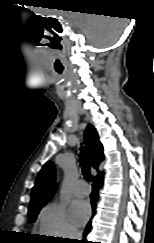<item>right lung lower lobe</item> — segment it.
<instances>
[{
	"label": "right lung lower lobe",
	"mask_w": 154,
	"mask_h": 243,
	"mask_svg": "<svg viewBox=\"0 0 154 243\" xmlns=\"http://www.w3.org/2000/svg\"><path fill=\"white\" fill-rule=\"evenodd\" d=\"M103 184V173H99L96 177H94V182H93V189H92V194H91V204H92V209H96V202L98 200V191L101 188ZM91 229V221L86 226V229L84 231V237H86ZM65 243V241H62ZM72 243H87L86 240L82 241H71Z\"/></svg>",
	"instance_id": "98d812e1"
}]
</instances>
